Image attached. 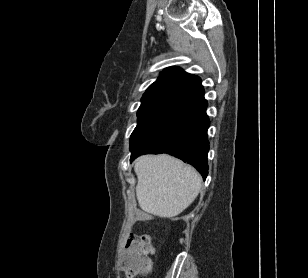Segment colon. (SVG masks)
Here are the masks:
<instances>
[{
    "label": "colon",
    "instance_id": "obj_1",
    "mask_svg": "<svg viewBox=\"0 0 308 278\" xmlns=\"http://www.w3.org/2000/svg\"><path fill=\"white\" fill-rule=\"evenodd\" d=\"M123 270L129 278L143 274L148 269V256L154 252L149 236H130L126 242Z\"/></svg>",
    "mask_w": 308,
    "mask_h": 278
}]
</instances>
